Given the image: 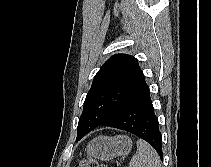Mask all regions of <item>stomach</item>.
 Returning <instances> with one entry per match:
<instances>
[{
  "label": "stomach",
  "instance_id": "1",
  "mask_svg": "<svg viewBox=\"0 0 211 167\" xmlns=\"http://www.w3.org/2000/svg\"><path fill=\"white\" fill-rule=\"evenodd\" d=\"M132 148V140L125 135L115 137L99 136L94 138L87 146L88 156L105 161L115 157H125Z\"/></svg>",
  "mask_w": 211,
  "mask_h": 167
}]
</instances>
